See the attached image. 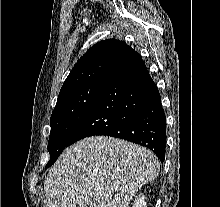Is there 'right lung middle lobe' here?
Masks as SVG:
<instances>
[{
  "label": "right lung middle lobe",
  "mask_w": 220,
  "mask_h": 207,
  "mask_svg": "<svg viewBox=\"0 0 220 207\" xmlns=\"http://www.w3.org/2000/svg\"><path fill=\"white\" fill-rule=\"evenodd\" d=\"M105 81L95 80L58 96L50 119V160L45 168L50 167L69 146L70 137L89 112Z\"/></svg>",
  "instance_id": "dd1d6c3e"
}]
</instances>
